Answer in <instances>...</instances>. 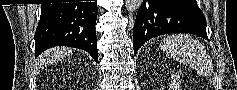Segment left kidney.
I'll return each instance as SVG.
<instances>
[{
  "instance_id": "5707ae66",
  "label": "left kidney",
  "mask_w": 237,
  "mask_h": 90,
  "mask_svg": "<svg viewBox=\"0 0 237 90\" xmlns=\"http://www.w3.org/2000/svg\"><path fill=\"white\" fill-rule=\"evenodd\" d=\"M180 76H176V74H172V80H179ZM171 90H179L180 84H170Z\"/></svg>"
}]
</instances>
